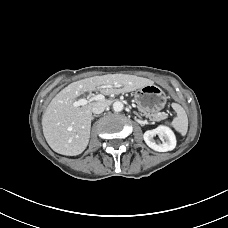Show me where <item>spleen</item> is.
Instances as JSON below:
<instances>
[{
	"label": "spleen",
	"instance_id": "3e777b00",
	"mask_svg": "<svg viewBox=\"0 0 228 228\" xmlns=\"http://www.w3.org/2000/svg\"><path fill=\"white\" fill-rule=\"evenodd\" d=\"M172 108L177 113V117L171 122V126L179 132L182 136H185L188 130V117L184 108L177 104L173 103Z\"/></svg>",
	"mask_w": 228,
	"mask_h": 228
}]
</instances>
